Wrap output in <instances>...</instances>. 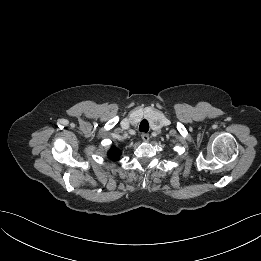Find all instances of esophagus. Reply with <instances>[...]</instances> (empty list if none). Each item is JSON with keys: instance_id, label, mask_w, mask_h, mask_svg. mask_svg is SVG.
<instances>
[{"instance_id": "esophagus-1", "label": "esophagus", "mask_w": 261, "mask_h": 261, "mask_svg": "<svg viewBox=\"0 0 261 261\" xmlns=\"http://www.w3.org/2000/svg\"><path fill=\"white\" fill-rule=\"evenodd\" d=\"M141 138L144 142H148L149 141V134L147 133H142L141 134Z\"/></svg>"}]
</instances>
